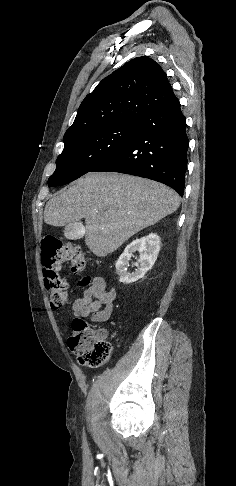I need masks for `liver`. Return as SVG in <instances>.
<instances>
[{
	"instance_id": "1",
	"label": "liver",
	"mask_w": 236,
	"mask_h": 486,
	"mask_svg": "<svg viewBox=\"0 0 236 486\" xmlns=\"http://www.w3.org/2000/svg\"><path fill=\"white\" fill-rule=\"evenodd\" d=\"M178 194L149 179L111 172L88 173L51 198L46 224L60 227L85 219V243L98 257L116 251L140 230L174 213Z\"/></svg>"
}]
</instances>
